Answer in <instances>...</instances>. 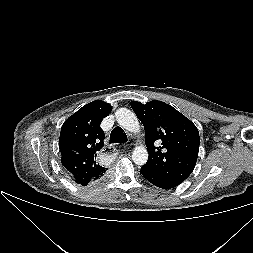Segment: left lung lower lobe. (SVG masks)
Masks as SVG:
<instances>
[{
  "instance_id": "1",
  "label": "left lung lower lobe",
  "mask_w": 253,
  "mask_h": 253,
  "mask_svg": "<svg viewBox=\"0 0 253 253\" xmlns=\"http://www.w3.org/2000/svg\"><path fill=\"white\" fill-rule=\"evenodd\" d=\"M141 174L153 185L162 189H171L179 185V183L155 174L154 172L146 169L144 166L141 167Z\"/></svg>"
}]
</instances>
